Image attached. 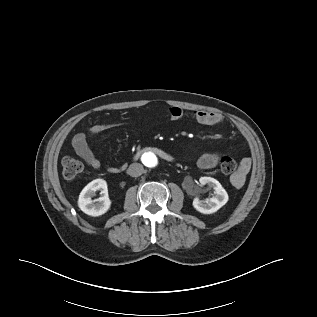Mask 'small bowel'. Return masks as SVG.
I'll list each match as a JSON object with an SVG mask.
<instances>
[{
    "mask_svg": "<svg viewBox=\"0 0 317 317\" xmlns=\"http://www.w3.org/2000/svg\"><path fill=\"white\" fill-rule=\"evenodd\" d=\"M168 116L171 120H179L185 116V110L178 106H172L168 108ZM193 116L199 124L206 126H216L223 122V117L218 112L198 110L194 112ZM107 127L108 125L104 124H94L87 129V133L89 135H98L102 133ZM72 146L76 154L81 157L92 169L96 170L101 167L99 159L88 146L85 132H80L74 136L72 140ZM219 158V153H205L200 156L197 161V165L201 169H210L217 165ZM250 166V159L244 158L241 162V170L231 178V182L235 187H241L244 184ZM107 170L110 173H117L120 171V168L107 166Z\"/></svg>",
    "mask_w": 317,
    "mask_h": 317,
    "instance_id": "1",
    "label": "small bowel"
}]
</instances>
